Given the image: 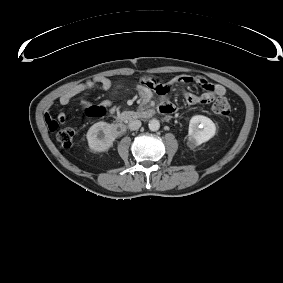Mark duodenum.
Here are the masks:
<instances>
[{"label":"duodenum","instance_id":"1","mask_svg":"<svg viewBox=\"0 0 283 283\" xmlns=\"http://www.w3.org/2000/svg\"><path fill=\"white\" fill-rule=\"evenodd\" d=\"M174 111L173 108H168L165 110L166 114H171ZM154 111L151 109L142 110V111H128L124 112L117 118V126L119 128H124L125 124L130 121L138 120V119H148L152 117Z\"/></svg>","mask_w":283,"mask_h":283}]
</instances>
